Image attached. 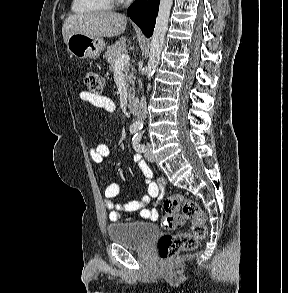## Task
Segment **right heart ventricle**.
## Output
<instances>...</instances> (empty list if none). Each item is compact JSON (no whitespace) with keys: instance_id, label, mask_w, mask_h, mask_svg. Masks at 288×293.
<instances>
[{"instance_id":"e07e8e85","label":"right heart ventricle","mask_w":288,"mask_h":293,"mask_svg":"<svg viewBox=\"0 0 288 293\" xmlns=\"http://www.w3.org/2000/svg\"><path fill=\"white\" fill-rule=\"evenodd\" d=\"M113 0H73L72 11L78 14L109 10Z\"/></svg>"}]
</instances>
